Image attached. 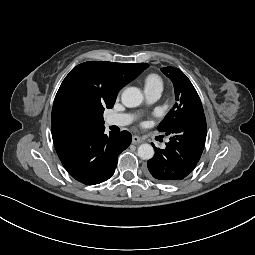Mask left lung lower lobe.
<instances>
[{"label":"left lung lower lobe","instance_id":"1","mask_svg":"<svg viewBox=\"0 0 255 255\" xmlns=\"http://www.w3.org/2000/svg\"><path fill=\"white\" fill-rule=\"evenodd\" d=\"M204 112L177 124L167 131L170 141L147 163L151 177L162 183H176L187 177L197 165L206 140Z\"/></svg>","mask_w":255,"mask_h":255}]
</instances>
